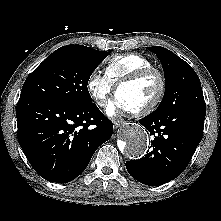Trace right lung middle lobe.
I'll return each mask as SVG.
<instances>
[{"mask_svg":"<svg viewBox=\"0 0 221 221\" xmlns=\"http://www.w3.org/2000/svg\"><path fill=\"white\" fill-rule=\"evenodd\" d=\"M108 52L67 45L48 56L24 82L20 98L52 101L70 106L92 103L87 84Z\"/></svg>","mask_w":221,"mask_h":221,"instance_id":"obj_1","label":"right lung middle lobe"}]
</instances>
